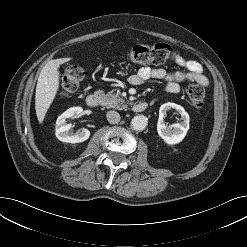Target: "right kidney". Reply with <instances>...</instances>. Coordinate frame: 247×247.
Returning a JSON list of instances; mask_svg holds the SVG:
<instances>
[{"mask_svg":"<svg viewBox=\"0 0 247 247\" xmlns=\"http://www.w3.org/2000/svg\"><path fill=\"white\" fill-rule=\"evenodd\" d=\"M82 112V107H71L57 118L55 134L60 141L66 143H80L89 138L90 131L88 129L83 128L77 133H70L71 124L66 123V119L77 117L81 115Z\"/></svg>","mask_w":247,"mask_h":247,"instance_id":"obj_1","label":"right kidney"}]
</instances>
